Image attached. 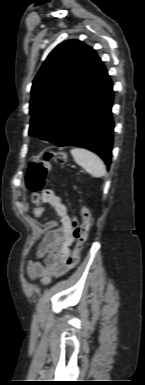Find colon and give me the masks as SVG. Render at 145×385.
Masks as SVG:
<instances>
[{"instance_id": "obj_1", "label": "colon", "mask_w": 145, "mask_h": 385, "mask_svg": "<svg viewBox=\"0 0 145 385\" xmlns=\"http://www.w3.org/2000/svg\"><path fill=\"white\" fill-rule=\"evenodd\" d=\"M66 154L61 151L47 152L42 161L34 162L30 165L27 174V188L32 194V200L37 203L39 201V194L44 191L46 177L51 170V163L64 164L66 161ZM91 212L87 206L81 208V222L73 226L72 234L76 241L75 248L71 254L68 263L74 267L77 265L81 250L83 249L88 232L91 227Z\"/></svg>"}]
</instances>
